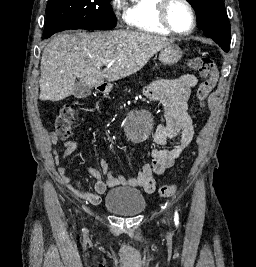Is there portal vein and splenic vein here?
I'll return each instance as SVG.
<instances>
[{
  "label": "portal vein and splenic vein",
  "instance_id": "portal-vein-and-splenic-vein-1",
  "mask_svg": "<svg viewBox=\"0 0 256 267\" xmlns=\"http://www.w3.org/2000/svg\"><path fill=\"white\" fill-rule=\"evenodd\" d=\"M108 62H110V60H107V62H99V64H108Z\"/></svg>",
  "mask_w": 256,
  "mask_h": 267
}]
</instances>
